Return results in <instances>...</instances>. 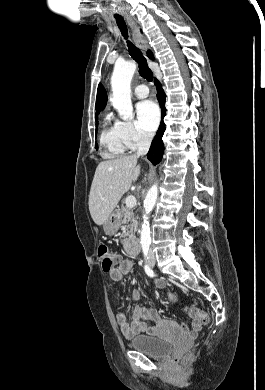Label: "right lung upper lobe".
Returning <instances> with one entry per match:
<instances>
[{
	"label": "right lung upper lobe",
	"mask_w": 265,
	"mask_h": 390,
	"mask_svg": "<svg viewBox=\"0 0 265 390\" xmlns=\"http://www.w3.org/2000/svg\"><path fill=\"white\" fill-rule=\"evenodd\" d=\"M149 58L153 59V54L151 51H148ZM107 103V93L104 87L99 84L97 90V98H96V115H98L106 106Z\"/></svg>",
	"instance_id": "cb5924a9"
}]
</instances>
